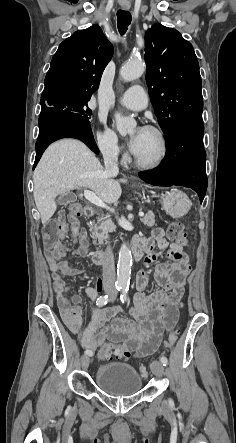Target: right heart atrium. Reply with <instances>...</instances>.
Here are the masks:
<instances>
[{
	"label": "right heart atrium",
	"instance_id": "1",
	"mask_svg": "<svg viewBox=\"0 0 236 443\" xmlns=\"http://www.w3.org/2000/svg\"><path fill=\"white\" fill-rule=\"evenodd\" d=\"M96 141L103 155L110 159L117 158L121 153V146L116 135L105 127H100L96 133Z\"/></svg>",
	"mask_w": 236,
	"mask_h": 443
}]
</instances>
